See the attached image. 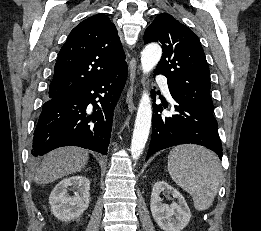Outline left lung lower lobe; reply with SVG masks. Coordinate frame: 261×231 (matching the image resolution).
I'll use <instances>...</instances> for the list:
<instances>
[{
	"mask_svg": "<svg viewBox=\"0 0 261 231\" xmlns=\"http://www.w3.org/2000/svg\"><path fill=\"white\" fill-rule=\"evenodd\" d=\"M172 97L176 114H159L163 107H167L166 104H162L163 107L161 104L153 106L152 138L147 159L159 150L186 143L205 146L222 159L221 140L213 113Z\"/></svg>",
	"mask_w": 261,
	"mask_h": 231,
	"instance_id": "left-lung-lower-lobe-1",
	"label": "left lung lower lobe"
}]
</instances>
